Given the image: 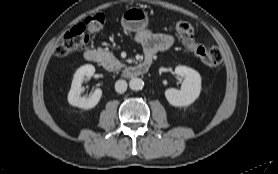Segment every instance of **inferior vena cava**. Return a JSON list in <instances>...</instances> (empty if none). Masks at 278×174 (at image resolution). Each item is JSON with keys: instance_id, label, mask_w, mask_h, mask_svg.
<instances>
[{"instance_id": "602c4592", "label": "inferior vena cava", "mask_w": 278, "mask_h": 174, "mask_svg": "<svg viewBox=\"0 0 278 174\" xmlns=\"http://www.w3.org/2000/svg\"><path fill=\"white\" fill-rule=\"evenodd\" d=\"M115 90L118 93H124L127 90V82L125 80H117Z\"/></svg>"}]
</instances>
